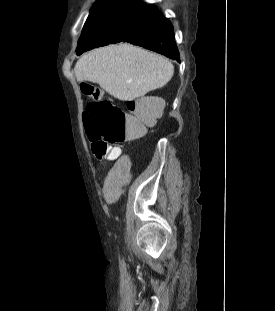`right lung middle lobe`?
I'll use <instances>...</instances> for the list:
<instances>
[{"instance_id":"right-lung-middle-lobe-1","label":"right lung middle lobe","mask_w":275,"mask_h":311,"mask_svg":"<svg viewBox=\"0 0 275 311\" xmlns=\"http://www.w3.org/2000/svg\"><path fill=\"white\" fill-rule=\"evenodd\" d=\"M157 11L156 7L140 0H98L83 27L77 55L121 42L134 25Z\"/></svg>"}]
</instances>
